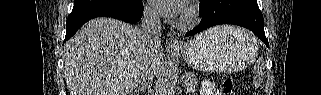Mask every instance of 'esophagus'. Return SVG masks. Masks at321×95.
<instances>
[{
    "mask_svg": "<svg viewBox=\"0 0 321 95\" xmlns=\"http://www.w3.org/2000/svg\"><path fill=\"white\" fill-rule=\"evenodd\" d=\"M166 44L168 47H180L182 43L174 33H168L166 36Z\"/></svg>",
    "mask_w": 321,
    "mask_h": 95,
    "instance_id": "1",
    "label": "esophagus"
}]
</instances>
